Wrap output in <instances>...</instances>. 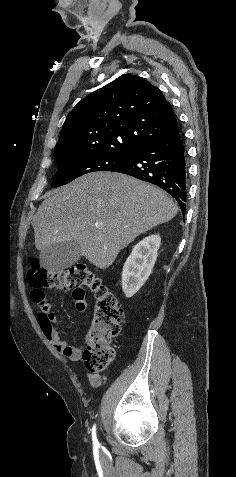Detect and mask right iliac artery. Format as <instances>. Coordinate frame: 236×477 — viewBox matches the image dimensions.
<instances>
[{
	"label": "right iliac artery",
	"mask_w": 236,
	"mask_h": 477,
	"mask_svg": "<svg viewBox=\"0 0 236 477\" xmlns=\"http://www.w3.org/2000/svg\"><path fill=\"white\" fill-rule=\"evenodd\" d=\"M92 441L94 446H99V442L96 437V425H94L92 428Z\"/></svg>",
	"instance_id": "82829eb1"
}]
</instances>
